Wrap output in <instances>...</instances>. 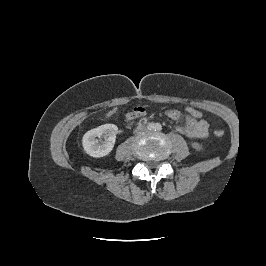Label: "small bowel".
Returning <instances> with one entry per match:
<instances>
[{
	"label": "small bowel",
	"instance_id": "small-bowel-1",
	"mask_svg": "<svg viewBox=\"0 0 266 266\" xmlns=\"http://www.w3.org/2000/svg\"><path fill=\"white\" fill-rule=\"evenodd\" d=\"M165 114L172 120H180L182 114L175 109L165 111ZM145 115L142 107H135L129 114V119L140 118ZM208 123L202 119H194L188 115L185 116V123L178 127V130L190 138H205L208 135Z\"/></svg>",
	"mask_w": 266,
	"mask_h": 266
}]
</instances>
